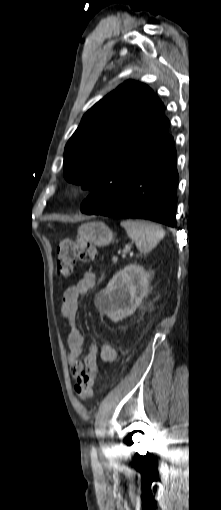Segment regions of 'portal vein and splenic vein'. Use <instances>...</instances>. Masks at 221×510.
<instances>
[{
	"mask_svg": "<svg viewBox=\"0 0 221 510\" xmlns=\"http://www.w3.org/2000/svg\"><path fill=\"white\" fill-rule=\"evenodd\" d=\"M127 250H129V247H125V249H124V253H125V252H127ZM112 261H113V262L118 261V257H117V256H114V257L112 258Z\"/></svg>",
	"mask_w": 221,
	"mask_h": 510,
	"instance_id": "portal-vein-and-splenic-vein-1",
	"label": "portal vein and splenic vein"
}]
</instances>
